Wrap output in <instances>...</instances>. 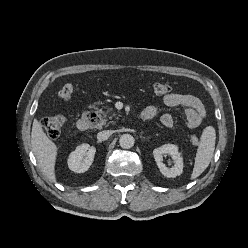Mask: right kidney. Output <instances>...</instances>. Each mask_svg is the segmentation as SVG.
I'll return each instance as SVG.
<instances>
[{"instance_id": "right-kidney-1", "label": "right kidney", "mask_w": 248, "mask_h": 248, "mask_svg": "<svg viewBox=\"0 0 248 248\" xmlns=\"http://www.w3.org/2000/svg\"><path fill=\"white\" fill-rule=\"evenodd\" d=\"M96 148L89 144L78 146L75 151L69 155L68 167L75 173L87 171L93 163Z\"/></svg>"}]
</instances>
